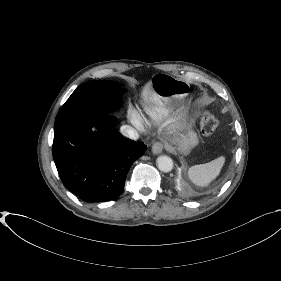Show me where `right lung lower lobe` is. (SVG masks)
<instances>
[{"mask_svg":"<svg viewBox=\"0 0 281 281\" xmlns=\"http://www.w3.org/2000/svg\"><path fill=\"white\" fill-rule=\"evenodd\" d=\"M111 114H77L55 125L53 158L64 186L87 202L117 198L146 145L125 138Z\"/></svg>","mask_w":281,"mask_h":281,"instance_id":"98d812e1","label":"right lung lower lobe"}]
</instances>
